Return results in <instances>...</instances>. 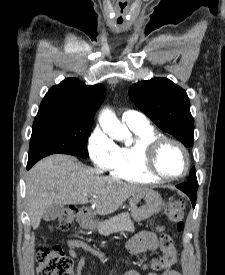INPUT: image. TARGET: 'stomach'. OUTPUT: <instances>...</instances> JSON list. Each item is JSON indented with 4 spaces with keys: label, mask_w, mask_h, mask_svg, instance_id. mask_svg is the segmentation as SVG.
Instances as JSON below:
<instances>
[{
    "label": "stomach",
    "mask_w": 225,
    "mask_h": 275,
    "mask_svg": "<svg viewBox=\"0 0 225 275\" xmlns=\"http://www.w3.org/2000/svg\"><path fill=\"white\" fill-rule=\"evenodd\" d=\"M131 216L141 222L158 214L164 205L160 194L154 190H146L131 196L129 199Z\"/></svg>",
    "instance_id": "1"
}]
</instances>
